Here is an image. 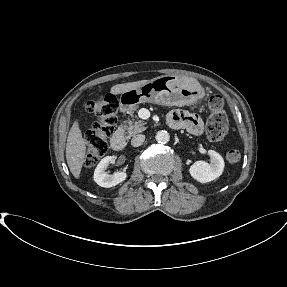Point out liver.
<instances>
[{"label":"liver","mask_w":287,"mask_h":287,"mask_svg":"<svg viewBox=\"0 0 287 287\" xmlns=\"http://www.w3.org/2000/svg\"><path fill=\"white\" fill-rule=\"evenodd\" d=\"M150 80H140L124 84H117L111 88V93L114 95L121 94L125 91L136 89ZM101 91V89H99ZM86 158V142L82 137V132L79 128L78 120H75L67 138L66 144V160L72 175L78 179L82 170V166Z\"/></svg>","instance_id":"obj_1"}]
</instances>
